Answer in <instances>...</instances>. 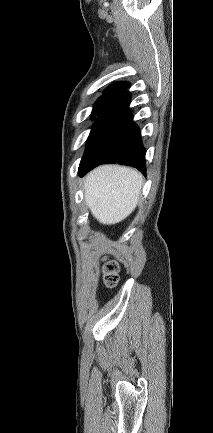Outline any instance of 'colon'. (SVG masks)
<instances>
[{
    "instance_id": "1",
    "label": "colon",
    "mask_w": 213,
    "mask_h": 433,
    "mask_svg": "<svg viewBox=\"0 0 213 433\" xmlns=\"http://www.w3.org/2000/svg\"><path fill=\"white\" fill-rule=\"evenodd\" d=\"M119 280V265L115 261H108L105 264V284L112 288L115 287Z\"/></svg>"
}]
</instances>
